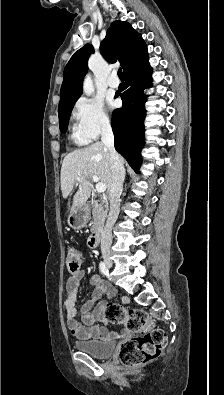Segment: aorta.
Returning <instances> with one entry per match:
<instances>
[{
	"label": "aorta",
	"instance_id": "aorta-1",
	"mask_svg": "<svg viewBox=\"0 0 224 395\" xmlns=\"http://www.w3.org/2000/svg\"><path fill=\"white\" fill-rule=\"evenodd\" d=\"M83 92L87 96H91L94 93L93 80L90 75H86L83 82Z\"/></svg>",
	"mask_w": 224,
	"mask_h": 395
}]
</instances>
